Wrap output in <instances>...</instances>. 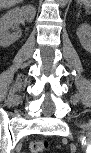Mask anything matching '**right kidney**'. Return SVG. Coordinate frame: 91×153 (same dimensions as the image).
Segmentation results:
<instances>
[{
  "mask_svg": "<svg viewBox=\"0 0 91 153\" xmlns=\"http://www.w3.org/2000/svg\"><path fill=\"white\" fill-rule=\"evenodd\" d=\"M36 9L32 6L16 7L8 11L0 19V45L1 47H9L20 38L19 32L10 34L9 29H15L24 18L27 22L31 23L34 20Z\"/></svg>",
  "mask_w": 91,
  "mask_h": 153,
  "instance_id": "1",
  "label": "right kidney"
}]
</instances>
